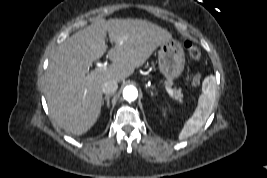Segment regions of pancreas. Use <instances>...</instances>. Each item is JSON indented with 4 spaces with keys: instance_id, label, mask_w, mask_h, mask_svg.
<instances>
[{
    "instance_id": "1",
    "label": "pancreas",
    "mask_w": 267,
    "mask_h": 178,
    "mask_svg": "<svg viewBox=\"0 0 267 178\" xmlns=\"http://www.w3.org/2000/svg\"><path fill=\"white\" fill-rule=\"evenodd\" d=\"M167 85H170L172 82L170 80H167L165 82ZM172 98L182 102V94L180 89H174V93L172 95Z\"/></svg>"
}]
</instances>
